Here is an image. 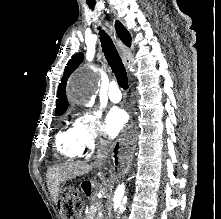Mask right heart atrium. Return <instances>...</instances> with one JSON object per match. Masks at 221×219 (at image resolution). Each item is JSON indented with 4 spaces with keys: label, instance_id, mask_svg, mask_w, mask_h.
Wrapping results in <instances>:
<instances>
[{
    "label": "right heart atrium",
    "instance_id": "d8ad5b80",
    "mask_svg": "<svg viewBox=\"0 0 221 219\" xmlns=\"http://www.w3.org/2000/svg\"><path fill=\"white\" fill-rule=\"evenodd\" d=\"M73 127L83 152L91 153L103 145V129L97 113L91 111L77 113Z\"/></svg>",
    "mask_w": 221,
    "mask_h": 219
}]
</instances>
